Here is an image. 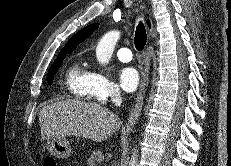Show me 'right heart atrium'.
<instances>
[{"instance_id":"1","label":"right heart atrium","mask_w":231,"mask_h":166,"mask_svg":"<svg viewBox=\"0 0 231 166\" xmlns=\"http://www.w3.org/2000/svg\"><path fill=\"white\" fill-rule=\"evenodd\" d=\"M88 95L99 102H105L109 98H120V92L117 86L102 69L89 71Z\"/></svg>"}]
</instances>
